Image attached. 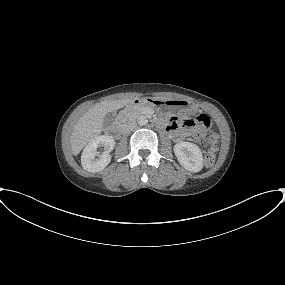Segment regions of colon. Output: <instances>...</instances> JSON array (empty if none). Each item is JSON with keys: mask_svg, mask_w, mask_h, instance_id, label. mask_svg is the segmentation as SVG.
I'll use <instances>...</instances> for the list:
<instances>
[{"mask_svg": "<svg viewBox=\"0 0 285 285\" xmlns=\"http://www.w3.org/2000/svg\"><path fill=\"white\" fill-rule=\"evenodd\" d=\"M210 123V118L206 114L193 115L188 113L183 116L184 126L190 130L191 136L198 140L201 146L205 149L206 166L213 165L218 150L215 135L205 133L209 128Z\"/></svg>", "mask_w": 285, "mask_h": 285, "instance_id": "obj_1", "label": "colon"}]
</instances>
